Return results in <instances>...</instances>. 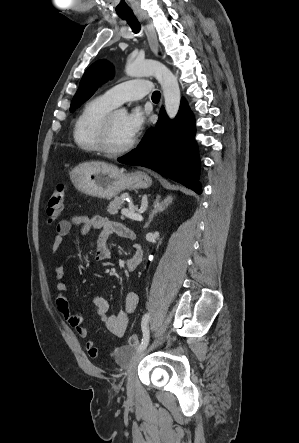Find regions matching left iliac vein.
Instances as JSON below:
<instances>
[{
	"label": "left iliac vein",
	"instance_id": "left-iliac-vein-1",
	"mask_svg": "<svg viewBox=\"0 0 299 443\" xmlns=\"http://www.w3.org/2000/svg\"><path fill=\"white\" fill-rule=\"evenodd\" d=\"M162 336V332L157 334L156 340L144 350L138 352L136 355L133 356L131 359L128 368H127V391L129 394H132L134 392L135 388V376H136V370L139 362L141 359L155 346L158 339Z\"/></svg>",
	"mask_w": 299,
	"mask_h": 443
}]
</instances>
